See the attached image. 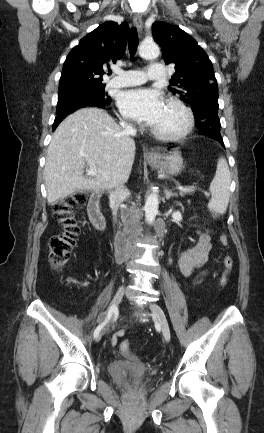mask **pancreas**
<instances>
[{
    "label": "pancreas",
    "mask_w": 264,
    "mask_h": 433,
    "mask_svg": "<svg viewBox=\"0 0 264 433\" xmlns=\"http://www.w3.org/2000/svg\"><path fill=\"white\" fill-rule=\"evenodd\" d=\"M181 194V196H184L186 193H180Z\"/></svg>",
    "instance_id": "cf45deb5"
}]
</instances>
